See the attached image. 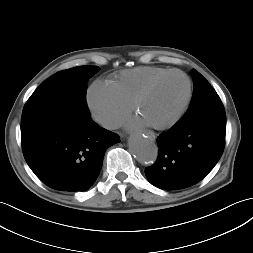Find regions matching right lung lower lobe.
<instances>
[{"label":"right lung lower lobe","instance_id":"obj_1","mask_svg":"<svg viewBox=\"0 0 253 253\" xmlns=\"http://www.w3.org/2000/svg\"><path fill=\"white\" fill-rule=\"evenodd\" d=\"M27 164L47 186L59 191H85L96 181L107 148L119 136L90 115L60 112L21 128Z\"/></svg>","mask_w":253,"mask_h":253}]
</instances>
